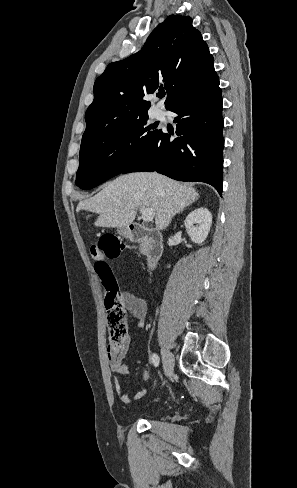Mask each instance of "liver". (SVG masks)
I'll return each mask as SVG.
<instances>
[{
	"label": "liver",
	"instance_id": "liver-1",
	"mask_svg": "<svg viewBox=\"0 0 297 488\" xmlns=\"http://www.w3.org/2000/svg\"><path fill=\"white\" fill-rule=\"evenodd\" d=\"M198 196L191 186L159 173H130L106 183L98 194L80 201L76 211L99 214L95 226L126 228L134 221L138 208H153L156 227L163 229L172 216Z\"/></svg>",
	"mask_w": 297,
	"mask_h": 488
}]
</instances>
